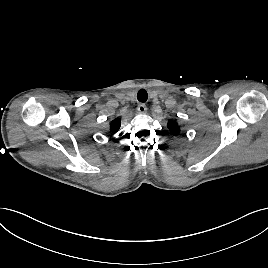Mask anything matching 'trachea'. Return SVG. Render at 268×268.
Listing matches in <instances>:
<instances>
[{
	"label": "trachea",
	"instance_id": "obj_1",
	"mask_svg": "<svg viewBox=\"0 0 268 268\" xmlns=\"http://www.w3.org/2000/svg\"><path fill=\"white\" fill-rule=\"evenodd\" d=\"M148 98L147 91L145 89H140L137 94V99L139 102H146Z\"/></svg>",
	"mask_w": 268,
	"mask_h": 268
}]
</instances>
